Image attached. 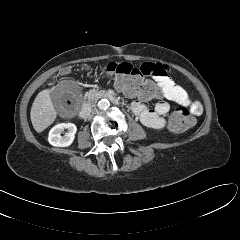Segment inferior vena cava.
<instances>
[{"label": "inferior vena cava", "mask_w": 240, "mask_h": 240, "mask_svg": "<svg viewBox=\"0 0 240 240\" xmlns=\"http://www.w3.org/2000/svg\"><path fill=\"white\" fill-rule=\"evenodd\" d=\"M91 113H93V110L90 107L84 108L82 110V116L84 118H90L91 117Z\"/></svg>", "instance_id": "602c4592"}]
</instances>
